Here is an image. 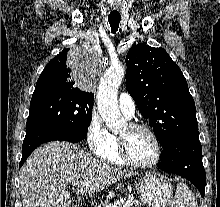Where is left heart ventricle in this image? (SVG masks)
<instances>
[{"mask_svg":"<svg viewBox=\"0 0 220 207\" xmlns=\"http://www.w3.org/2000/svg\"><path fill=\"white\" fill-rule=\"evenodd\" d=\"M118 135L126 140L129 155L134 161L148 163L155 158V144L146 131L131 130L127 125Z\"/></svg>","mask_w":220,"mask_h":207,"instance_id":"b2bd125f","label":"left heart ventricle"}]
</instances>
